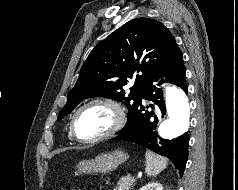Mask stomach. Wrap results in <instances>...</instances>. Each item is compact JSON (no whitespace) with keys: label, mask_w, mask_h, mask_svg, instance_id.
<instances>
[{"label":"stomach","mask_w":238,"mask_h":190,"mask_svg":"<svg viewBox=\"0 0 238 190\" xmlns=\"http://www.w3.org/2000/svg\"><path fill=\"white\" fill-rule=\"evenodd\" d=\"M128 159L127 153L122 150H115L111 153H102L92 160H82L78 163L77 169L81 174H107Z\"/></svg>","instance_id":"1"}]
</instances>
